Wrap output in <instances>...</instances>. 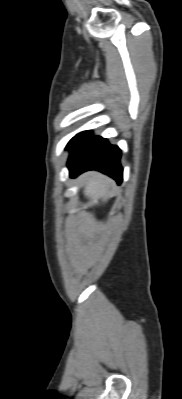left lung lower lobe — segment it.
<instances>
[{
  "label": "left lung lower lobe",
  "mask_w": 182,
  "mask_h": 399,
  "mask_svg": "<svg viewBox=\"0 0 182 399\" xmlns=\"http://www.w3.org/2000/svg\"><path fill=\"white\" fill-rule=\"evenodd\" d=\"M66 149L70 151L67 167L72 178L88 170H98L118 184L122 182L121 151L107 139L83 131L70 140Z\"/></svg>",
  "instance_id": "left-lung-lower-lobe-1"
}]
</instances>
